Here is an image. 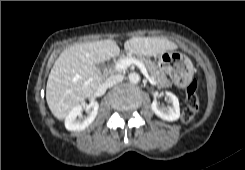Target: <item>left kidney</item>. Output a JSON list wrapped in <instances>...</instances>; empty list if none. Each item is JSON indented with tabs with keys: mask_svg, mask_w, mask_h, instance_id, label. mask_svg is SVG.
Instances as JSON below:
<instances>
[{
	"mask_svg": "<svg viewBox=\"0 0 245 170\" xmlns=\"http://www.w3.org/2000/svg\"><path fill=\"white\" fill-rule=\"evenodd\" d=\"M165 94L169 98V101L172 105L168 107H164L160 105L156 99H154L151 104V108L153 112L161 119L166 121H176L180 117L179 100L177 96L171 92H166ZM157 95L158 93L155 92L154 97L156 98Z\"/></svg>",
	"mask_w": 245,
	"mask_h": 170,
	"instance_id": "obj_1",
	"label": "left kidney"
}]
</instances>
